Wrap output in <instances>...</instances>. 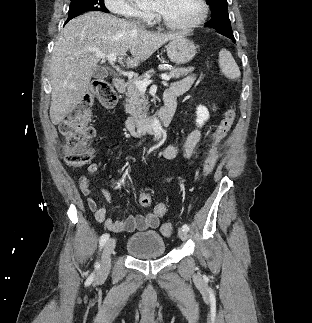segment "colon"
Returning <instances> with one entry per match:
<instances>
[{
    "instance_id": "colon-1",
    "label": "colon",
    "mask_w": 312,
    "mask_h": 323,
    "mask_svg": "<svg viewBox=\"0 0 312 323\" xmlns=\"http://www.w3.org/2000/svg\"><path fill=\"white\" fill-rule=\"evenodd\" d=\"M93 88L99 103L103 107L112 108L116 104L117 94L109 79L105 77L95 79ZM234 120L235 108L230 106L214 132L210 149L203 163V176L207 177L212 173L220 156L218 147L231 130ZM61 133L64 137V148L68 164L72 168L86 166L94 156V148L91 144L94 137V129L88 124L87 119L81 117L64 120L61 124ZM139 201L141 205H147L151 202V198L143 195ZM165 207V202H156L153 211L154 213H163ZM161 232L164 235H171L174 232L173 223H164L161 226Z\"/></svg>"
}]
</instances>
